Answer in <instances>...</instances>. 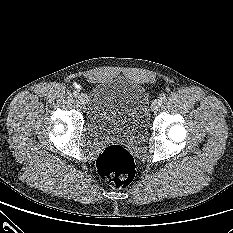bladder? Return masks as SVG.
Wrapping results in <instances>:
<instances>
[{"instance_id": "1", "label": "bladder", "mask_w": 233, "mask_h": 233, "mask_svg": "<svg viewBox=\"0 0 233 233\" xmlns=\"http://www.w3.org/2000/svg\"><path fill=\"white\" fill-rule=\"evenodd\" d=\"M87 124L94 139L140 140L149 127V96L139 83L124 77L97 83L87 101Z\"/></svg>"}]
</instances>
